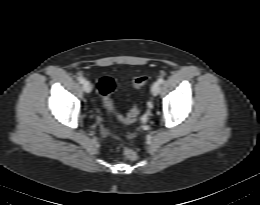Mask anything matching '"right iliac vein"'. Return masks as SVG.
<instances>
[{
    "mask_svg": "<svg viewBox=\"0 0 260 205\" xmlns=\"http://www.w3.org/2000/svg\"><path fill=\"white\" fill-rule=\"evenodd\" d=\"M83 89H84V91H85L86 93H90V92H91L92 86H91V84H90L89 81H85V82L83 83Z\"/></svg>",
    "mask_w": 260,
    "mask_h": 205,
    "instance_id": "63e3f726",
    "label": "right iliac vein"
}]
</instances>
